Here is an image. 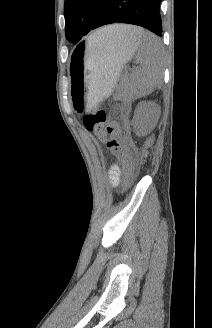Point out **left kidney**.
<instances>
[{
    "instance_id": "1",
    "label": "left kidney",
    "mask_w": 212,
    "mask_h": 328,
    "mask_svg": "<svg viewBox=\"0 0 212 328\" xmlns=\"http://www.w3.org/2000/svg\"><path fill=\"white\" fill-rule=\"evenodd\" d=\"M160 115V108L154 102H140L135 110L132 125L137 135H146L154 129Z\"/></svg>"
}]
</instances>
